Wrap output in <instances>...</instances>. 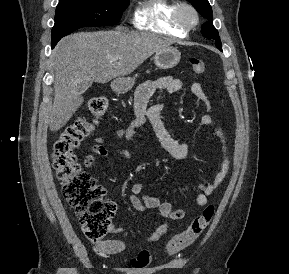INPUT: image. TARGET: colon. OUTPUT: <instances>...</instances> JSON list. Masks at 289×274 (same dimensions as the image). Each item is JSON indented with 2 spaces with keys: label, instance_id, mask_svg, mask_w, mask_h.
Instances as JSON below:
<instances>
[{
  "label": "colon",
  "instance_id": "colon-1",
  "mask_svg": "<svg viewBox=\"0 0 289 274\" xmlns=\"http://www.w3.org/2000/svg\"><path fill=\"white\" fill-rule=\"evenodd\" d=\"M190 66L195 75H200L205 70V63L200 58L191 59ZM87 108L94 120L77 117L62 131L53 146V167L61 183L63 195L76 211L85 236L91 241L99 242L111 230V219L116 206L105 199V189L82 170L74 150L93 131L96 119L105 114L107 101L102 96H92L87 101ZM214 214L215 207L207 206L191 221L186 230L168 242V254H176L192 244L209 226ZM150 259L148 251H141L131 263L134 267L142 268L149 264Z\"/></svg>",
  "mask_w": 289,
  "mask_h": 274
}]
</instances>
